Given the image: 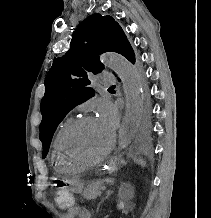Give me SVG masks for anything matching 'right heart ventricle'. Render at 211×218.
<instances>
[{
	"instance_id": "1",
	"label": "right heart ventricle",
	"mask_w": 211,
	"mask_h": 218,
	"mask_svg": "<svg viewBox=\"0 0 211 218\" xmlns=\"http://www.w3.org/2000/svg\"><path fill=\"white\" fill-rule=\"evenodd\" d=\"M73 121V116L71 114H68L61 120L57 127L53 141L54 154H51V159L54 160H49V165H51V169H68V164H63V160H61L60 156L63 153V137L65 131Z\"/></svg>"
}]
</instances>
